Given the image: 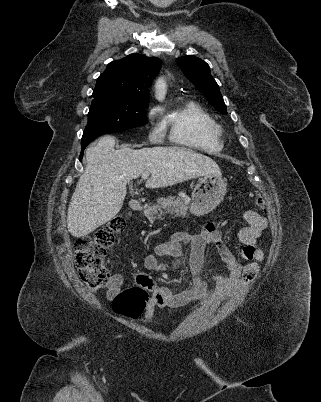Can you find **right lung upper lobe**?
Here are the masks:
<instances>
[{
    "instance_id": "cb5924a9",
    "label": "right lung upper lobe",
    "mask_w": 321,
    "mask_h": 402,
    "mask_svg": "<svg viewBox=\"0 0 321 402\" xmlns=\"http://www.w3.org/2000/svg\"><path fill=\"white\" fill-rule=\"evenodd\" d=\"M161 68L160 59L130 54L108 64L98 79L93 93H103L132 101L149 102L152 80Z\"/></svg>"
}]
</instances>
